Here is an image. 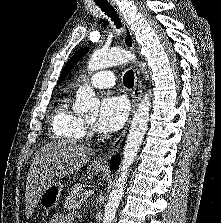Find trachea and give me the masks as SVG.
I'll use <instances>...</instances> for the list:
<instances>
[{
    "instance_id": "obj_1",
    "label": "trachea",
    "mask_w": 221,
    "mask_h": 223,
    "mask_svg": "<svg viewBox=\"0 0 221 223\" xmlns=\"http://www.w3.org/2000/svg\"><path fill=\"white\" fill-rule=\"evenodd\" d=\"M97 6L108 15L114 22L116 27L121 28V20L115 11V9L108 3L107 0H94ZM123 83L127 88H131L134 85V73L132 70L127 71L123 76Z\"/></svg>"
}]
</instances>
